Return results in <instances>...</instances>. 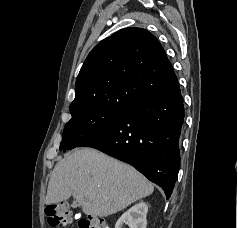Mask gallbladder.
<instances>
[{
	"instance_id": "gallbladder-1",
	"label": "gallbladder",
	"mask_w": 238,
	"mask_h": 228,
	"mask_svg": "<svg viewBox=\"0 0 238 228\" xmlns=\"http://www.w3.org/2000/svg\"><path fill=\"white\" fill-rule=\"evenodd\" d=\"M73 206H74V207H77V206H78V204L74 203V204H73Z\"/></svg>"
}]
</instances>
